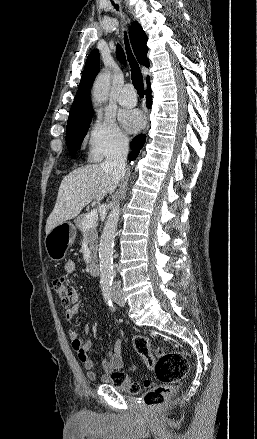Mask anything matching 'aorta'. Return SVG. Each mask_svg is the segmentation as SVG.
<instances>
[{"instance_id":"aorta-1","label":"aorta","mask_w":257,"mask_h":439,"mask_svg":"<svg viewBox=\"0 0 257 439\" xmlns=\"http://www.w3.org/2000/svg\"><path fill=\"white\" fill-rule=\"evenodd\" d=\"M110 75L101 74L93 87V101L97 105L107 98ZM119 205L114 204L105 222L99 244L100 281L109 284L113 281V247L119 221Z\"/></svg>"}]
</instances>
